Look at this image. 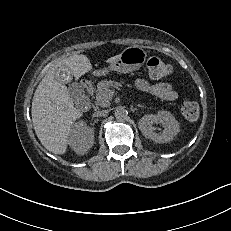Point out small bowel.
<instances>
[{"mask_svg": "<svg viewBox=\"0 0 231 231\" xmlns=\"http://www.w3.org/2000/svg\"><path fill=\"white\" fill-rule=\"evenodd\" d=\"M135 87L139 91L150 93L166 101H174L178 97L173 86L165 82L152 84L145 79H137L135 81Z\"/></svg>", "mask_w": 231, "mask_h": 231, "instance_id": "1", "label": "small bowel"}]
</instances>
